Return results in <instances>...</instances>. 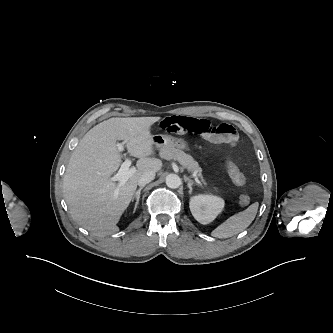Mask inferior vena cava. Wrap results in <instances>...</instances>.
I'll use <instances>...</instances> for the list:
<instances>
[{"mask_svg":"<svg viewBox=\"0 0 333 333\" xmlns=\"http://www.w3.org/2000/svg\"><path fill=\"white\" fill-rule=\"evenodd\" d=\"M155 178V173L152 171H147L141 175V177L138 180L139 186H145L149 182H151Z\"/></svg>","mask_w":333,"mask_h":333,"instance_id":"602c4592","label":"inferior vena cava"}]
</instances>
